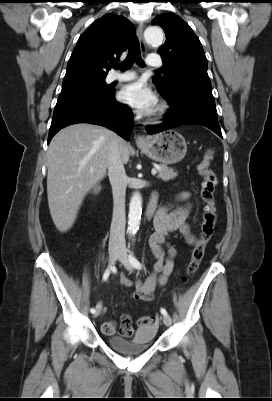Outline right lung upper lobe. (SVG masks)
Listing matches in <instances>:
<instances>
[{
  "mask_svg": "<svg viewBox=\"0 0 272 401\" xmlns=\"http://www.w3.org/2000/svg\"><path fill=\"white\" fill-rule=\"evenodd\" d=\"M135 33L125 17L108 13L79 37L67 65L62 90L105 80L109 64L118 61Z\"/></svg>",
  "mask_w": 272,
  "mask_h": 401,
  "instance_id": "right-lung-upper-lobe-1",
  "label": "right lung upper lobe"
}]
</instances>
